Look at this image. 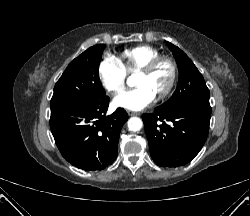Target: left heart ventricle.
Instances as JSON below:
<instances>
[{
  "label": "left heart ventricle",
  "mask_w": 250,
  "mask_h": 216,
  "mask_svg": "<svg viewBox=\"0 0 250 216\" xmlns=\"http://www.w3.org/2000/svg\"><path fill=\"white\" fill-rule=\"evenodd\" d=\"M168 79V68L159 66L153 73L148 75L139 74L137 84L147 86L154 94H157L166 84Z\"/></svg>",
  "instance_id": "1"
}]
</instances>
